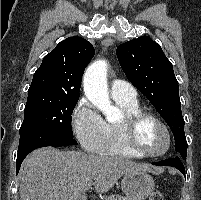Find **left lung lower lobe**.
I'll return each instance as SVG.
<instances>
[{
  "instance_id": "obj_1",
  "label": "left lung lower lobe",
  "mask_w": 201,
  "mask_h": 200,
  "mask_svg": "<svg viewBox=\"0 0 201 200\" xmlns=\"http://www.w3.org/2000/svg\"><path fill=\"white\" fill-rule=\"evenodd\" d=\"M182 160H186V158H182L181 156L175 158H169L159 162H153V165L157 166H172L180 170L185 175V167L182 163Z\"/></svg>"
}]
</instances>
